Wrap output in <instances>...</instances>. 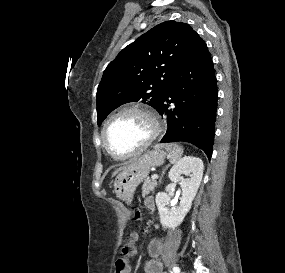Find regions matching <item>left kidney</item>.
Instances as JSON below:
<instances>
[{"mask_svg": "<svg viewBox=\"0 0 285 273\" xmlns=\"http://www.w3.org/2000/svg\"><path fill=\"white\" fill-rule=\"evenodd\" d=\"M204 165L200 158L185 156L181 158L169 171V179L178 183L182 189L180 205L170 210L166 207L170 197L165 192L156 195V205L163 228L175 229L179 226L192 206L203 176ZM182 175L188 178H183Z\"/></svg>", "mask_w": 285, "mask_h": 273, "instance_id": "5707ae66", "label": "left kidney"}]
</instances>
